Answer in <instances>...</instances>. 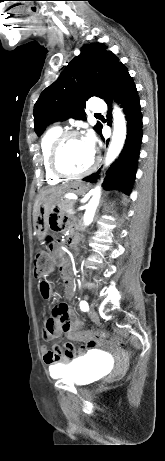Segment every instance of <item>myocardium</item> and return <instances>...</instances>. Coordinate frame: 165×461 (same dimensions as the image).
Returning a JSON list of instances; mask_svg holds the SVG:
<instances>
[{"label": "myocardium", "mask_w": 165, "mask_h": 461, "mask_svg": "<svg viewBox=\"0 0 165 461\" xmlns=\"http://www.w3.org/2000/svg\"><path fill=\"white\" fill-rule=\"evenodd\" d=\"M73 137H81L80 133L74 130H67L64 132H61L57 138L53 141L50 150H49V155H48V164L51 172L60 177V178H70V179H75V178H81L84 177L91 172H93L98 163H99V158L96 154H94V158L91 162V164L83 171L78 172V173H72L64 170L60 164H59V155L61 152V149L65 142L69 140L70 138Z\"/></svg>", "instance_id": "myocardium-1"}]
</instances>
